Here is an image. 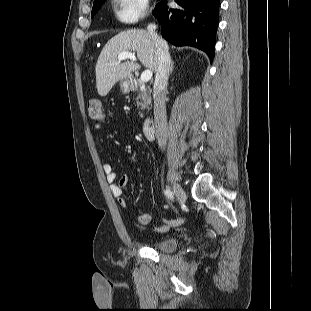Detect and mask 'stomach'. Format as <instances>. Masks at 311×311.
I'll return each mask as SVG.
<instances>
[{
  "label": "stomach",
  "mask_w": 311,
  "mask_h": 311,
  "mask_svg": "<svg viewBox=\"0 0 311 311\" xmlns=\"http://www.w3.org/2000/svg\"><path fill=\"white\" fill-rule=\"evenodd\" d=\"M120 90L122 93L127 94L132 89V81L129 77L121 79L119 82Z\"/></svg>",
  "instance_id": "obj_1"
}]
</instances>
